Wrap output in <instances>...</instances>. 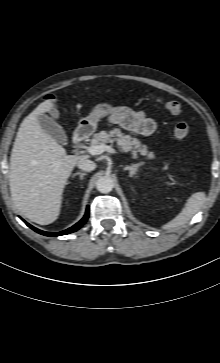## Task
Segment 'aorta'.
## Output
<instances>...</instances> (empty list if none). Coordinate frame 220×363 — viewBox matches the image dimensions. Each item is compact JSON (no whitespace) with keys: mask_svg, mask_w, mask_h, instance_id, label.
I'll list each match as a JSON object with an SVG mask.
<instances>
[{"mask_svg":"<svg viewBox=\"0 0 220 363\" xmlns=\"http://www.w3.org/2000/svg\"><path fill=\"white\" fill-rule=\"evenodd\" d=\"M97 190L101 193H109L114 187V182L109 176H102L97 180Z\"/></svg>","mask_w":220,"mask_h":363,"instance_id":"obj_1","label":"aorta"}]
</instances>
